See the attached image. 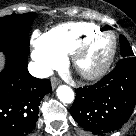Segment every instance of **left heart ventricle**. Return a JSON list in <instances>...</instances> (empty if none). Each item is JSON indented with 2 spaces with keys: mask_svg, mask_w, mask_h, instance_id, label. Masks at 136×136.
<instances>
[{
  "mask_svg": "<svg viewBox=\"0 0 136 136\" xmlns=\"http://www.w3.org/2000/svg\"><path fill=\"white\" fill-rule=\"evenodd\" d=\"M112 43V37L109 34L99 37L81 59L80 68L84 71H90L100 66L108 57Z\"/></svg>",
  "mask_w": 136,
  "mask_h": 136,
  "instance_id": "1",
  "label": "left heart ventricle"
}]
</instances>
